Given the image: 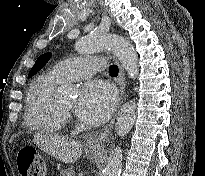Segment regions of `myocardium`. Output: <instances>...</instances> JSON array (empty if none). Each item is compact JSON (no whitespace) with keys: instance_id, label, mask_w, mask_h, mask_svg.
I'll use <instances>...</instances> for the list:
<instances>
[{"instance_id":"obj_1","label":"myocardium","mask_w":205,"mask_h":176,"mask_svg":"<svg viewBox=\"0 0 205 176\" xmlns=\"http://www.w3.org/2000/svg\"><path fill=\"white\" fill-rule=\"evenodd\" d=\"M59 110L65 117L70 116L71 114V110H67L63 108L60 104H59Z\"/></svg>"}]
</instances>
